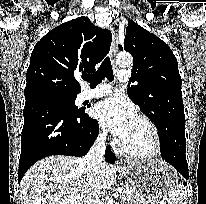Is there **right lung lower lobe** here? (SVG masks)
<instances>
[{"mask_svg": "<svg viewBox=\"0 0 206 204\" xmlns=\"http://www.w3.org/2000/svg\"><path fill=\"white\" fill-rule=\"evenodd\" d=\"M98 132V122L84 111L72 113L59 104L45 101L25 105L18 182L44 157L86 155ZM105 160L115 161V155L108 147Z\"/></svg>", "mask_w": 206, "mask_h": 204, "instance_id": "1", "label": "right lung lower lobe"}]
</instances>
